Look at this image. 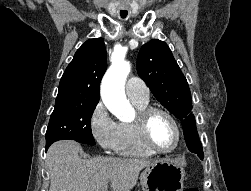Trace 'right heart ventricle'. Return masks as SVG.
<instances>
[{"instance_id":"obj_1","label":"right heart ventricle","mask_w":251,"mask_h":191,"mask_svg":"<svg viewBox=\"0 0 251 191\" xmlns=\"http://www.w3.org/2000/svg\"><path fill=\"white\" fill-rule=\"evenodd\" d=\"M132 101L139 109L149 106V99ZM119 127L120 140L116 150L119 154L140 158H149L155 155L144 145L135 123H121Z\"/></svg>"}]
</instances>
